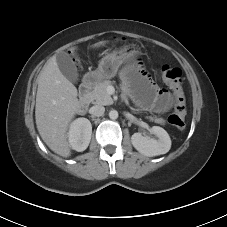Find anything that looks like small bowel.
<instances>
[{
	"instance_id": "1",
	"label": "small bowel",
	"mask_w": 227,
	"mask_h": 227,
	"mask_svg": "<svg viewBox=\"0 0 227 227\" xmlns=\"http://www.w3.org/2000/svg\"><path fill=\"white\" fill-rule=\"evenodd\" d=\"M120 80L126 93H133L143 107L156 112L168 111L173 103L172 96L152 83L140 65L132 64L122 70Z\"/></svg>"
}]
</instances>
